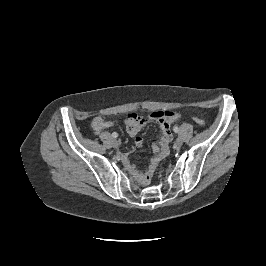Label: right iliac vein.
<instances>
[{
  "mask_svg": "<svg viewBox=\"0 0 266 266\" xmlns=\"http://www.w3.org/2000/svg\"><path fill=\"white\" fill-rule=\"evenodd\" d=\"M119 144H120V143H119V141H118V140H114V141H113V145H114V147H118V146H119Z\"/></svg>",
  "mask_w": 266,
  "mask_h": 266,
  "instance_id": "63e3f726",
  "label": "right iliac vein"
}]
</instances>
